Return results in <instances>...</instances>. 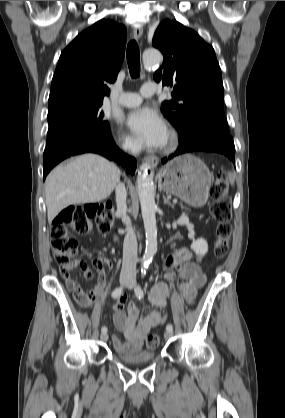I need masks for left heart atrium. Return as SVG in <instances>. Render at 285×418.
I'll list each match as a JSON object with an SVG mask.
<instances>
[{
  "label": "left heart atrium",
  "instance_id": "obj_1",
  "mask_svg": "<svg viewBox=\"0 0 285 418\" xmlns=\"http://www.w3.org/2000/svg\"><path fill=\"white\" fill-rule=\"evenodd\" d=\"M126 124L136 140L144 144L159 145L166 137V123L153 108L132 110L127 116Z\"/></svg>",
  "mask_w": 285,
  "mask_h": 418
}]
</instances>
